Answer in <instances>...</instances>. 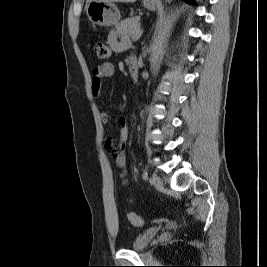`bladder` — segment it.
<instances>
[{"label":"bladder","instance_id":"31cf9c89","mask_svg":"<svg viewBox=\"0 0 267 267\" xmlns=\"http://www.w3.org/2000/svg\"><path fill=\"white\" fill-rule=\"evenodd\" d=\"M158 230L157 227H151L139 233L131 243V248L136 251L144 250L156 236Z\"/></svg>","mask_w":267,"mask_h":267}]
</instances>
